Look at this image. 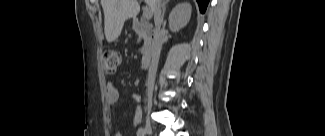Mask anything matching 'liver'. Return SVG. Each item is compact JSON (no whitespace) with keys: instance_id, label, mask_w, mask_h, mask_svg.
<instances>
[{"instance_id":"1","label":"liver","mask_w":325,"mask_h":136,"mask_svg":"<svg viewBox=\"0 0 325 136\" xmlns=\"http://www.w3.org/2000/svg\"><path fill=\"white\" fill-rule=\"evenodd\" d=\"M151 7L153 0H145ZM104 11V31L107 42L115 41L121 34L124 22L136 17L140 11L138 0H101Z\"/></svg>"}]
</instances>
